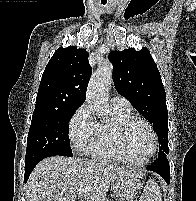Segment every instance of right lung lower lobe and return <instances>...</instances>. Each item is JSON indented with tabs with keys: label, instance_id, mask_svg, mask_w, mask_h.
Segmentation results:
<instances>
[{
	"label": "right lung lower lobe",
	"instance_id": "obj_1",
	"mask_svg": "<svg viewBox=\"0 0 196 201\" xmlns=\"http://www.w3.org/2000/svg\"><path fill=\"white\" fill-rule=\"evenodd\" d=\"M50 156H55L53 154H46V155H43V156H40V157H36V158H33L29 161H26L25 162V182L27 181L31 171L34 169V167L44 158L46 157H50Z\"/></svg>",
	"mask_w": 196,
	"mask_h": 201
}]
</instances>
